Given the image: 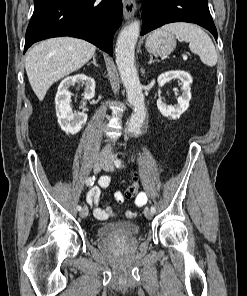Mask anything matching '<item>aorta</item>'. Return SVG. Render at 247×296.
Instances as JSON below:
<instances>
[{"label":"aorta","instance_id":"aorta-1","mask_svg":"<svg viewBox=\"0 0 247 296\" xmlns=\"http://www.w3.org/2000/svg\"><path fill=\"white\" fill-rule=\"evenodd\" d=\"M139 33L140 23L134 20L121 30L116 42V64L127 92V99L134 107L128 122V131L134 134L140 133L146 118L142 86L134 65L135 46Z\"/></svg>","mask_w":247,"mask_h":296}]
</instances>
